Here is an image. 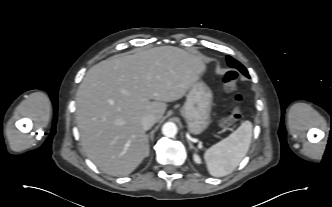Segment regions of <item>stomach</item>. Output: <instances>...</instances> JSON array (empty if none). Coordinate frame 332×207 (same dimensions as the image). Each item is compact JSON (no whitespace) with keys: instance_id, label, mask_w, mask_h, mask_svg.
Listing matches in <instances>:
<instances>
[{"instance_id":"obj_1","label":"stomach","mask_w":332,"mask_h":207,"mask_svg":"<svg viewBox=\"0 0 332 207\" xmlns=\"http://www.w3.org/2000/svg\"><path fill=\"white\" fill-rule=\"evenodd\" d=\"M212 92L201 80L190 87L186 102L180 110L185 118L188 131L194 135L202 133L211 123Z\"/></svg>"}]
</instances>
